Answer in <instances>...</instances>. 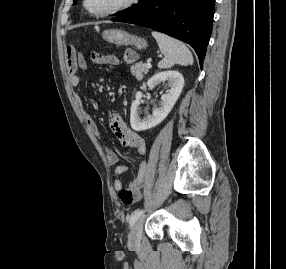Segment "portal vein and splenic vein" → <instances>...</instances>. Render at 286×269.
Instances as JSON below:
<instances>
[{"mask_svg":"<svg viewBox=\"0 0 286 269\" xmlns=\"http://www.w3.org/2000/svg\"><path fill=\"white\" fill-rule=\"evenodd\" d=\"M146 67H147V68H151V63H150V62H147V63H146Z\"/></svg>","mask_w":286,"mask_h":269,"instance_id":"obj_1","label":"portal vein and splenic vein"}]
</instances>
